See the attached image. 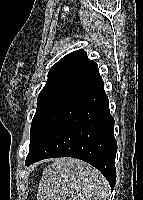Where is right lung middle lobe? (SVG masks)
<instances>
[{
	"label": "right lung middle lobe",
	"mask_w": 143,
	"mask_h": 200,
	"mask_svg": "<svg viewBox=\"0 0 143 200\" xmlns=\"http://www.w3.org/2000/svg\"><path fill=\"white\" fill-rule=\"evenodd\" d=\"M62 82V79H48L46 82V85L40 92L37 100V110L41 106V104L44 102V100L47 98V96L55 89L60 83Z\"/></svg>",
	"instance_id": "obj_1"
}]
</instances>
